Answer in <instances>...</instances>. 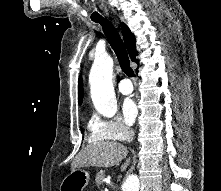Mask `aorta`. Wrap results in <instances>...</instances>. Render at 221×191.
Segmentation results:
<instances>
[{
    "label": "aorta",
    "instance_id": "1",
    "mask_svg": "<svg viewBox=\"0 0 221 191\" xmlns=\"http://www.w3.org/2000/svg\"><path fill=\"white\" fill-rule=\"evenodd\" d=\"M113 60L110 56L96 57L92 65L89 83L93 104L105 117H112L117 111V101L112 84ZM137 175H130L122 185V191H139Z\"/></svg>",
    "mask_w": 221,
    "mask_h": 191
}]
</instances>
